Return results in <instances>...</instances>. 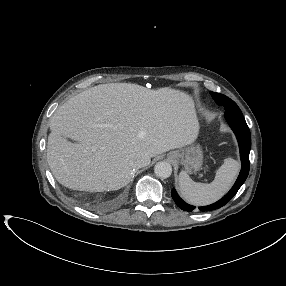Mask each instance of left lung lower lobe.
<instances>
[{"instance_id":"obj_1","label":"left lung lower lobe","mask_w":286,"mask_h":286,"mask_svg":"<svg viewBox=\"0 0 286 286\" xmlns=\"http://www.w3.org/2000/svg\"><path fill=\"white\" fill-rule=\"evenodd\" d=\"M225 118L230 127L232 128V130L234 131L238 140L240 148V158L242 163L241 171L231 190L222 199L211 205L199 207L198 209L200 211L215 210L228 203L232 199V197L237 193L242 184L245 182L249 173V153L251 149V133L248 128V125L242 114L225 113ZM171 195L175 203L182 210L191 212L195 209L194 206L185 203L179 197L175 189L171 191Z\"/></svg>"}]
</instances>
